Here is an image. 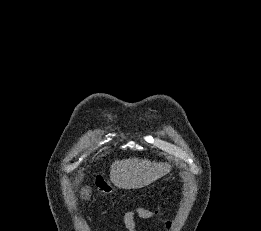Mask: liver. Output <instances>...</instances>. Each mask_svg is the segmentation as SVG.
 Listing matches in <instances>:
<instances>
[{
  "label": "liver",
  "instance_id": "6515ba94",
  "mask_svg": "<svg viewBox=\"0 0 261 231\" xmlns=\"http://www.w3.org/2000/svg\"><path fill=\"white\" fill-rule=\"evenodd\" d=\"M171 165L138 158L116 160L110 169V180L121 189H139L167 175Z\"/></svg>",
  "mask_w": 261,
  "mask_h": 231
}]
</instances>
